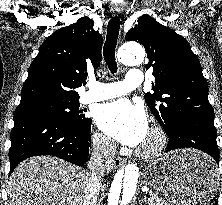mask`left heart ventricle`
<instances>
[{"mask_svg": "<svg viewBox=\"0 0 222 205\" xmlns=\"http://www.w3.org/2000/svg\"><path fill=\"white\" fill-rule=\"evenodd\" d=\"M152 140H153L152 135L150 134V132H148L145 140H144L143 143L141 144V147H142V146H148V145H150V144L152 143Z\"/></svg>", "mask_w": 222, "mask_h": 205, "instance_id": "obj_1", "label": "left heart ventricle"}]
</instances>
